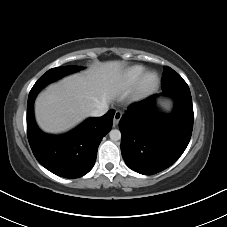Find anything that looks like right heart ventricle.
Returning <instances> with one entry per match:
<instances>
[{"instance_id":"e07e8e85","label":"right heart ventricle","mask_w":227,"mask_h":227,"mask_svg":"<svg viewBox=\"0 0 227 227\" xmlns=\"http://www.w3.org/2000/svg\"><path fill=\"white\" fill-rule=\"evenodd\" d=\"M145 68L140 65H134L127 68L123 73V81L127 86H134L136 85L143 74L145 73Z\"/></svg>"}]
</instances>
